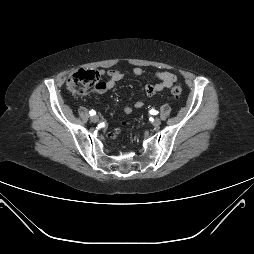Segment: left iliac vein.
Returning <instances> with one entry per match:
<instances>
[{
	"instance_id": "1",
	"label": "left iliac vein",
	"mask_w": 254,
	"mask_h": 254,
	"mask_svg": "<svg viewBox=\"0 0 254 254\" xmlns=\"http://www.w3.org/2000/svg\"><path fill=\"white\" fill-rule=\"evenodd\" d=\"M161 124V120L159 118H155L153 121V126L154 127H159Z\"/></svg>"
}]
</instances>
